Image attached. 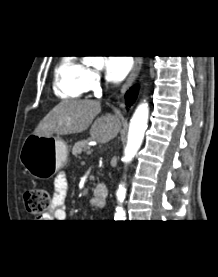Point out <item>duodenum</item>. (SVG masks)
Returning a JSON list of instances; mask_svg holds the SVG:
<instances>
[{"instance_id": "1", "label": "duodenum", "mask_w": 218, "mask_h": 277, "mask_svg": "<svg viewBox=\"0 0 218 277\" xmlns=\"http://www.w3.org/2000/svg\"><path fill=\"white\" fill-rule=\"evenodd\" d=\"M108 196V188L105 184H98L94 188V200L93 203L96 206H103Z\"/></svg>"}]
</instances>
